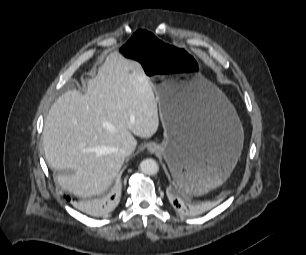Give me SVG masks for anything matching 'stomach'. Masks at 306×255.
Listing matches in <instances>:
<instances>
[{"label":"stomach","instance_id":"1","mask_svg":"<svg viewBox=\"0 0 306 255\" xmlns=\"http://www.w3.org/2000/svg\"><path fill=\"white\" fill-rule=\"evenodd\" d=\"M119 53L136 60L154 90L164 129L157 151L176 183L200 194L224 183L240 158L244 132L225 95L187 49L160 33L134 30ZM188 182L182 184V178Z\"/></svg>","mask_w":306,"mask_h":255}]
</instances>
